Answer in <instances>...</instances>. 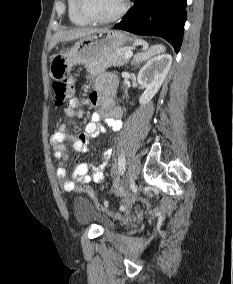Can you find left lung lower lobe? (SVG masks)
<instances>
[{
  "mask_svg": "<svg viewBox=\"0 0 233 284\" xmlns=\"http://www.w3.org/2000/svg\"><path fill=\"white\" fill-rule=\"evenodd\" d=\"M187 0H135L122 21L114 26L137 35L159 36L178 53L186 21Z\"/></svg>",
  "mask_w": 233,
  "mask_h": 284,
  "instance_id": "obj_1",
  "label": "left lung lower lobe"
}]
</instances>
